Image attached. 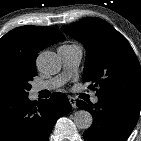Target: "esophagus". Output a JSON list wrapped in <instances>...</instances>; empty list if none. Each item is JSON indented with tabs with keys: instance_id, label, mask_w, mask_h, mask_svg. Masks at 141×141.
<instances>
[{
	"instance_id": "1",
	"label": "esophagus",
	"mask_w": 141,
	"mask_h": 141,
	"mask_svg": "<svg viewBox=\"0 0 141 141\" xmlns=\"http://www.w3.org/2000/svg\"><path fill=\"white\" fill-rule=\"evenodd\" d=\"M69 102H70L72 108H76L77 107L76 100L74 98L70 97L69 98Z\"/></svg>"
}]
</instances>
